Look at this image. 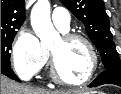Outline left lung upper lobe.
I'll return each instance as SVG.
<instances>
[{
    "label": "left lung upper lobe",
    "instance_id": "obj_1",
    "mask_svg": "<svg viewBox=\"0 0 121 94\" xmlns=\"http://www.w3.org/2000/svg\"><path fill=\"white\" fill-rule=\"evenodd\" d=\"M60 1L84 23L89 38L101 54L105 69H121L103 0Z\"/></svg>",
    "mask_w": 121,
    "mask_h": 94
}]
</instances>
